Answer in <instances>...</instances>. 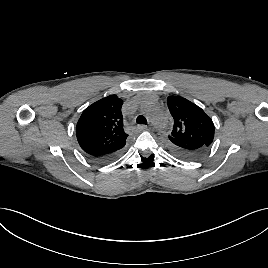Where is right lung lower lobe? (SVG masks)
Returning a JSON list of instances; mask_svg holds the SVG:
<instances>
[{
	"label": "right lung lower lobe",
	"mask_w": 268,
	"mask_h": 268,
	"mask_svg": "<svg viewBox=\"0 0 268 268\" xmlns=\"http://www.w3.org/2000/svg\"><path fill=\"white\" fill-rule=\"evenodd\" d=\"M118 154H119V151L112 153V154L103 155V156H92V155H89V156L99 162H108V161L115 159Z\"/></svg>",
	"instance_id": "98d812e1"
}]
</instances>
